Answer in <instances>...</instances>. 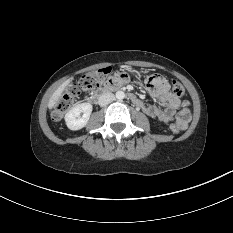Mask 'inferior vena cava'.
<instances>
[{"mask_svg": "<svg viewBox=\"0 0 233 233\" xmlns=\"http://www.w3.org/2000/svg\"><path fill=\"white\" fill-rule=\"evenodd\" d=\"M114 100H115L114 94L107 92V93H103L102 95H100L98 104L103 107V106L110 104Z\"/></svg>", "mask_w": 233, "mask_h": 233, "instance_id": "1", "label": "inferior vena cava"}]
</instances>
